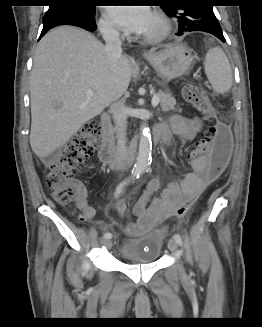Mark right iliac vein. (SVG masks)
Masks as SVG:
<instances>
[{"label":"right iliac vein","mask_w":262,"mask_h":327,"mask_svg":"<svg viewBox=\"0 0 262 327\" xmlns=\"http://www.w3.org/2000/svg\"><path fill=\"white\" fill-rule=\"evenodd\" d=\"M102 244L107 248V249H110L112 247V241L111 239H103L102 240Z\"/></svg>","instance_id":"63e3f726"}]
</instances>
